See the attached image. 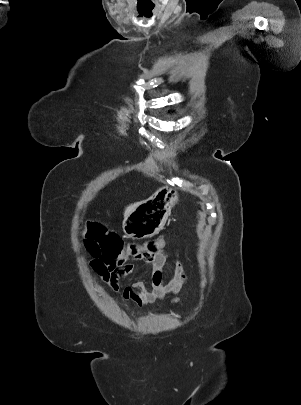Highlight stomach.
<instances>
[{"label": "stomach", "mask_w": 301, "mask_h": 405, "mask_svg": "<svg viewBox=\"0 0 301 405\" xmlns=\"http://www.w3.org/2000/svg\"><path fill=\"white\" fill-rule=\"evenodd\" d=\"M177 201L178 196L171 188L158 189L124 219V233L133 239L152 237L162 229L161 227L165 224L171 208Z\"/></svg>", "instance_id": "0dacf381"}]
</instances>
